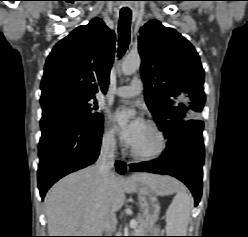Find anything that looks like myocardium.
I'll return each instance as SVG.
<instances>
[{"label":"myocardium","instance_id":"f54148a6","mask_svg":"<svg viewBox=\"0 0 248 237\" xmlns=\"http://www.w3.org/2000/svg\"><path fill=\"white\" fill-rule=\"evenodd\" d=\"M146 126L150 130H152L153 133L156 135L157 140H158V147L154 151L149 152V153H141V152H139V151H137L131 147L130 152H131V155L136 159H139L142 161H151V160H154L156 158H159L161 155L164 154V152L167 149V139H166L163 131L161 130V128L157 124H155L153 122H148L146 124Z\"/></svg>","mask_w":248,"mask_h":237}]
</instances>
